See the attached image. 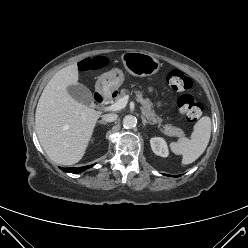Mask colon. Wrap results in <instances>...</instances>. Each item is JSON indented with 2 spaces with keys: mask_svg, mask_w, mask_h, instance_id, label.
Returning <instances> with one entry per match:
<instances>
[{
  "mask_svg": "<svg viewBox=\"0 0 248 248\" xmlns=\"http://www.w3.org/2000/svg\"><path fill=\"white\" fill-rule=\"evenodd\" d=\"M102 66L99 58L86 59L82 62L81 68L88 70ZM167 82L171 89L177 92H184L191 88L192 81L182 71L178 69L171 70L167 75ZM179 111L186 117L189 122H196L202 114V104L190 94H181L177 98Z\"/></svg>",
  "mask_w": 248,
  "mask_h": 248,
  "instance_id": "colon-1",
  "label": "colon"
}]
</instances>
